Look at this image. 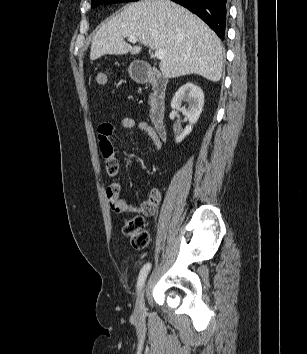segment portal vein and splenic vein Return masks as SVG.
I'll return each instance as SVG.
<instances>
[{"label":"portal vein and splenic vein","instance_id":"18ae733b","mask_svg":"<svg viewBox=\"0 0 307 354\" xmlns=\"http://www.w3.org/2000/svg\"><path fill=\"white\" fill-rule=\"evenodd\" d=\"M128 41H130L131 43H136L138 40L136 37L130 36L128 37ZM165 55H166L165 49H157L154 54L155 58L158 60L164 59Z\"/></svg>","mask_w":307,"mask_h":354}]
</instances>
